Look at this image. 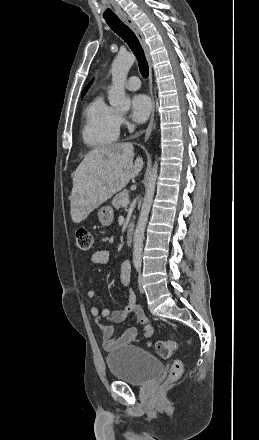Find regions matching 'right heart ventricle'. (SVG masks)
Wrapping results in <instances>:
<instances>
[{
  "label": "right heart ventricle",
  "mask_w": 259,
  "mask_h": 440,
  "mask_svg": "<svg viewBox=\"0 0 259 440\" xmlns=\"http://www.w3.org/2000/svg\"><path fill=\"white\" fill-rule=\"evenodd\" d=\"M117 112L102 96H96L87 105L83 115L82 139L93 149H102L114 144L119 137Z\"/></svg>",
  "instance_id": "1"
}]
</instances>
